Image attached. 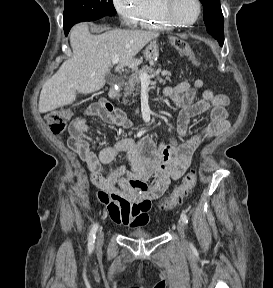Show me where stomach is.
<instances>
[{
	"label": "stomach",
	"instance_id": "stomach-1",
	"mask_svg": "<svg viewBox=\"0 0 273 288\" xmlns=\"http://www.w3.org/2000/svg\"><path fill=\"white\" fill-rule=\"evenodd\" d=\"M159 56V47L156 41H152L144 51V57L147 61L156 60Z\"/></svg>",
	"mask_w": 273,
	"mask_h": 288
}]
</instances>
